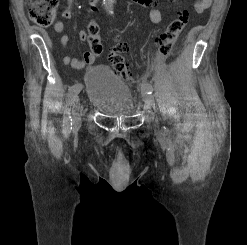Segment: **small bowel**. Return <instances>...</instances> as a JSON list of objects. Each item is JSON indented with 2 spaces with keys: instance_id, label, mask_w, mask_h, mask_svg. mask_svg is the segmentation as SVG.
I'll return each mask as SVG.
<instances>
[{
  "instance_id": "c3829d8e",
  "label": "small bowel",
  "mask_w": 247,
  "mask_h": 245,
  "mask_svg": "<svg viewBox=\"0 0 247 245\" xmlns=\"http://www.w3.org/2000/svg\"><path fill=\"white\" fill-rule=\"evenodd\" d=\"M140 5L146 6V7H154L157 4V0H135ZM171 2H174L175 0H169ZM213 0H197L195 4V11L197 13H201L204 10L208 9ZM97 3L94 0H89L90 9L89 12H95L97 8ZM62 17L64 19H71L73 17V0H67V6L62 12ZM165 18V13L157 8H153L150 11V19L153 23H161ZM54 30L61 34L60 42L64 48H67L69 43V37L64 33L65 31V25L62 21H57L54 24ZM78 37L80 40L84 41L87 36L84 31L79 32ZM96 59V54H94L92 51H87L84 53V56L82 59L72 58L68 55H66L63 59V62L65 65H68L74 69H82L86 65H90L94 63Z\"/></svg>"
}]
</instances>
